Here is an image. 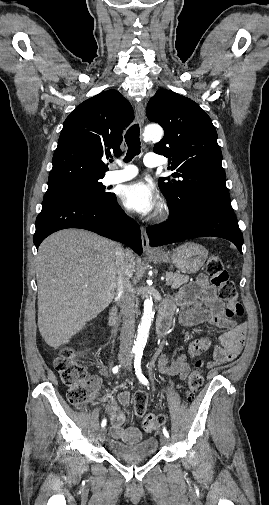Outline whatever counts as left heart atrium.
Masks as SVG:
<instances>
[{
	"instance_id": "1",
	"label": "left heart atrium",
	"mask_w": 269,
	"mask_h": 505,
	"mask_svg": "<svg viewBox=\"0 0 269 505\" xmlns=\"http://www.w3.org/2000/svg\"><path fill=\"white\" fill-rule=\"evenodd\" d=\"M120 198L127 209L142 215L152 213L159 205L154 187L144 181H136L124 186Z\"/></svg>"
}]
</instances>
